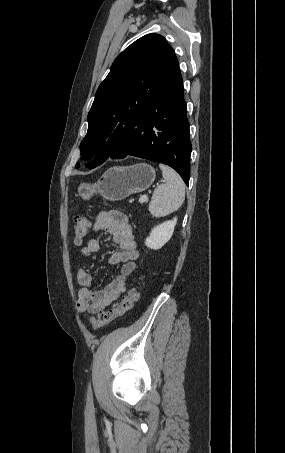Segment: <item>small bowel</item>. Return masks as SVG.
Returning <instances> with one entry per match:
<instances>
[{
  "label": "small bowel",
  "mask_w": 285,
  "mask_h": 453,
  "mask_svg": "<svg viewBox=\"0 0 285 453\" xmlns=\"http://www.w3.org/2000/svg\"><path fill=\"white\" fill-rule=\"evenodd\" d=\"M94 231H105L110 234L111 242L118 248L109 258L111 264L121 263L119 275L114 278L104 289L96 290L93 278L86 266L81 264L76 268V281L79 285L77 293V309L82 314H96L115 302L125 293L127 278L136 268L139 251L136 246L132 227L128 217L120 211L100 212L93 220ZM100 250L97 238H90L81 248L83 258H89Z\"/></svg>",
  "instance_id": "small-bowel-1"
}]
</instances>
